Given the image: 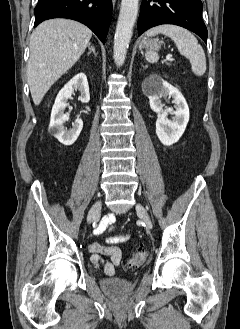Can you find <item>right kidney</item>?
<instances>
[{
	"label": "right kidney",
	"instance_id": "1",
	"mask_svg": "<svg viewBox=\"0 0 240 329\" xmlns=\"http://www.w3.org/2000/svg\"><path fill=\"white\" fill-rule=\"evenodd\" d=\"M74 90L80 91L79 100L82 103L90 101L89 86L87 77L84 73L75 75L58 93L52 108L49 131L65 146L72 145L80 135L83 128V121L77 118L70 130L65 129V122L69 120L67 114L64 113L68 106V99L71 98Z\"/></svg>",
	"mask_w": 240,
	"mask_h": 329
}]
</instances>
